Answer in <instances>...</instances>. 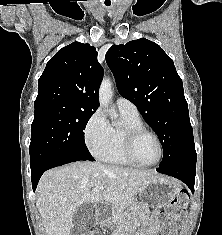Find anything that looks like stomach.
<instances>
[{"label": "stomach", "instance_id": "obj_1", "mask_svg": "<svg viewBox=\"0 0 222 235\" xmlns=\"http://www.w3.org/2000/svg\"><path fill=\"white\" fill-rule=\"evenodd\" d=\"M180 183L170 178H158L152 181L148 186L139 193L140 202L134 200L126 209L130 214L138 215L137 207H162L170 203L180 192ZM103 226H112L111 219H103L100 222ZM136 235H147L145 232H138L136 228L132 230Z\"/></svg>", "mask_w": 222, "mask_h": 235}]
</instances>
